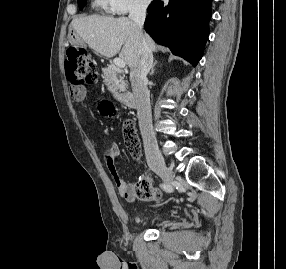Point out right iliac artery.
<instances>
[{
  "instance_id": "82829eb1",
  "label": "right iliac artery",
  "mask_w": 286,
  "mask_h": 269,
  "mask_svg": "<svg viewBox=\"0 0 286 269\" xmlns=\"http://www.w3.org/2000/svg\"><path fill=\"white\" fill-rule=\"evenodd\" d=\"M160 187L163 188L164 190L170 191L169 186L166 184H161Z\"/></svg>"
}]
</instances>
